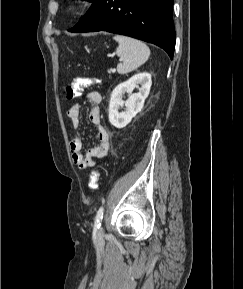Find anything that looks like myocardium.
Wrapping results in <instances>:
<instances>
[{
  "label": "myocardium",
  "instance_id": "f54148a6",
  "mask_svg": "<svg viewBox=\"0 0 243 289\" xmlns=\"http://www.w3.org/2000/svg\"><path fill=\"white\" fill-rule=\"evenodd\" d=\"M86 4V1L85 0H79L78 2H77V5L79 6V7H82V6H84Z\"/></svg>",
  "mask_w": 243,
  "mask_h": 289
}]
</instances>
